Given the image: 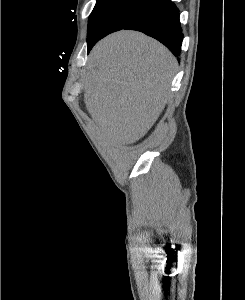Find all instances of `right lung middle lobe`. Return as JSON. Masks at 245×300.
Instances as JSON below:
<instances>
[{
    "label": "right lung middle lobe",
    "instance_id": "dd1d6c3e",
    "mask_svg": "<svg viewBox=\"0 0 245 300\" xmlns=\"http://www.w3.org/2000/svg\"><path fill=\"white\" fill-rule=\"evenodd\" d=\"M160 4L158 1L97 0L89 18L88 46L123 29Z\"/></svg>",
    "mask_w": 245,
    "mask_h": 300
}]
</instances>
